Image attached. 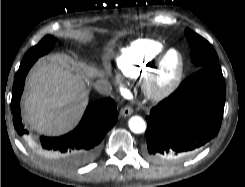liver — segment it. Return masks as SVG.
<instances>
[{"mask_svg":"<svg viewBox=\"0 0 245 187\" xmlns=\"http://www.w3.org/2000/svg\"><path fill=\"white\" fill-rule=\"evenodd\" d=\"M103 72L92 65L53 55L39 60L27 78L24 121L47 135H60L80 119L88 103L86 83Z\"/></svg>","mask_w":245,"mask_h":187,"instance_id":"1","label":"liver"}]
</instances>
